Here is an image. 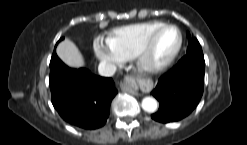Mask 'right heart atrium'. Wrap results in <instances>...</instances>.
<instances>
[{
	"instance_id": "obj_1",
	"label": "right heart atrium",
	"mask_w": 247,
	"mask_h": 145,
	"mask_svg": "<svg viewBox=\"0 0 247 145\" xmlns=\"http://www.w3.org/2000/svg\"><path fill=\"white\" fill-rule=\"evenodd\" d=\"M96 57L104 63L119 65L124 59L108 43L100 40L95 41L93 45Z\"/></svg>"
}]
</instances>
